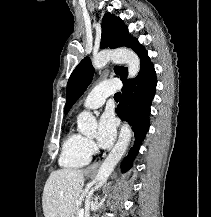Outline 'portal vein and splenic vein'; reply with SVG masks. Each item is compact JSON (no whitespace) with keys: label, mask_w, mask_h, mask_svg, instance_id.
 I'll return each instance as SVG.
<instances>
[{"label":"portal vein and splenic vein","mask_w":211,"mask_h":217,"mask_svg":"<svg viewBox=\"0 0 211 217\" xmlns=\"http://www.w3.org/2000/svg\"><path fill=\"white\" fill-rule=\"evenodd\" d=\"M84 216V209H80L79 211V217H83Z\"/></svg>","instance_id":"portal-vein-and-splenic-vein-1"}]
</instances>
